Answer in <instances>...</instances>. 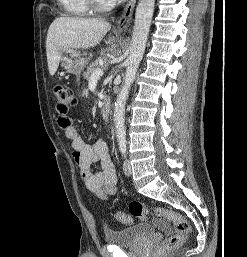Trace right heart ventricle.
Listing matches in <instances>:
<instances>
[{
	"instance_id": "obj_1",
	"label": "right heart ventricle",
	"mask_w": 247,
	"mask_h": 257,
	"mask_svg": "<svg viewBox=\"0 0 247 257\" xmlns=\"http://www.w3.org/2000/svg\"><path fill=\"white\" fill-rule=\"evenodd\" d=\"M63 11L72 17L87 16L92 12L88 0H57Z\"/></svg>"
}]
</instances>
